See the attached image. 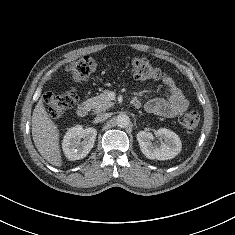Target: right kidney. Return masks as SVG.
Returning a JSON list of instances; mask_svg holds the SVG:
<instances>
[{
  "label": "right kidney",
  "mask_w": 235,
  "mask_h": 235,
  "mask_svg": "<svg viewBox=\"0 0 235 235\" xmlns=\"http://www.w3.org/2000/svg\"><path fill=\"white\" fill-rule=\"evenodd\" d=\"M97 130L89 127L83 129L76 125L69 128L62 141V148L69 160H80L85 158L94 146Z\"/></svg>",
  "instance_id": "right-kidney-1"
}]
</instances>
